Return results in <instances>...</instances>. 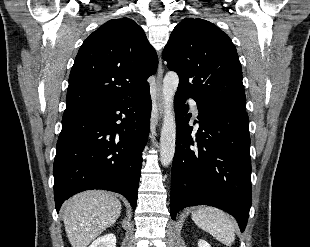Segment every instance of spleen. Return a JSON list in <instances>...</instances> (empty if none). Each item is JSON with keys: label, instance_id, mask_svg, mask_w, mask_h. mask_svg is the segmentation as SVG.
I'll return each mask as SVG.
<instances>
[{"label": "spleen", "instance_id": "1", "mask_svg": "<svg viewBox=\"0 0 310 247\" xmlns=\"http://www.w3.org/2000/svg\"><path fill=\"white\" fill-rule=\"evenodd\" d=\"M192 220L202 230L208 232L226 246L235 239V225L232 219L220 209L210 206L198 208L192 212Z\"/></svg>", "mask_w": 310, "mask_h": 247}]
</instances>
